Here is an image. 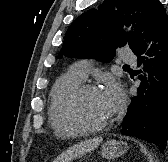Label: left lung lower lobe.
Wrapping results in <instances>:
<instances>
[{
    "instance_id": "obj_1",
    "label": "left lung lower lobe",
    "mask_w": 168,
    "mask_h": 162,
    "mask_svg": "<svg viewBox=\"0 0 168 162\" xmlns=\"http://www.w3.org/2000/svg\"><path fill=\"white\" fill-rule=\"evenodd\" d=\"M150 50L142 43L134 52L138 66L148 73L139 75L141 85L137 96L131 99L122 122L121 132L161 147L168 139V15L161 17L151 29ZM155 59L149 60L147 56Z\"/></svg>"
}]
</instances>
